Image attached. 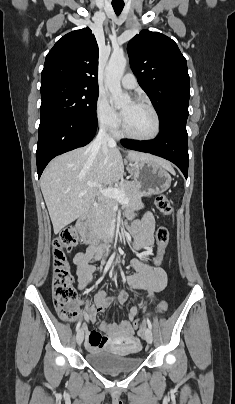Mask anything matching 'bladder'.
<instances>
[{
  "label": "bladder",
  "mask_w": 235,
  "mask_h": 404,
  "mask_svg": "<svg viewBox=\"0 0 235 404\" xmlns=\"http://www.w3.org/2000/svg\"><path fill=\"white\" fill-rule=\"evenodd\" d=\"M126 351V354L118 352ZM136 351V348L122 349L118 346L100 347L89 351L86 354V361L94 368L109 372H130L136 369L142 363L140 356L131 355Z\"/></svg>",
  "instance_id": "1"
}]
</instances>
